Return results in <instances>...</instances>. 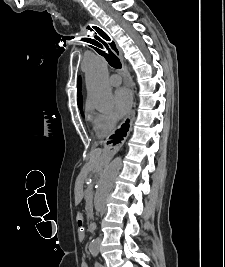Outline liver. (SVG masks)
<instances>
[{
  "instance_id": "liver-1",
  "label": "liver",
  "mask_w": 225,
  "mask_h": 267,
  "mask_svg": "<svg viewBox=\"0 0 225 267\" xmlns=\"http://www.w3.org/2000/svg\"><path fill=\"white\" fill-rule=\"evenodd\" d=\"M102 150L101 149H94L90 153V161L89 163L83 168L81 175L85 176L89 171L99 168L104 159L101 156ZM83 196L82 188L80 186H76L75 188V203L79 204Z\"/></svg>"
}]
</instances>
